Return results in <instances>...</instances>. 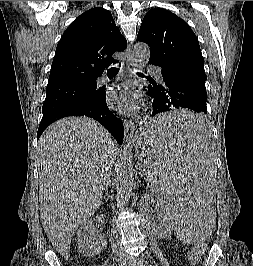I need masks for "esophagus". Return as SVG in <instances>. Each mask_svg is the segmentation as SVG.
Segmentation results:
<instances>
[{"instance_id":"1","label":"esophagus","mask_w":253,"mask_h":266,"mask_svg":"<svg viewBox=\"0 0 253 266\" xmlns=\"http://www.w3.org/2000/svg\"><path fill=\"white\" fill-rule=\"evenodd\" d=\"M127 61H126V70L129 75L133 74L134 66H135V59L132 53L131 45L129 44L127 47ZM136 135V127L132 120L125 119L124 120V137L126 141H130Z\"/></svg>"}]
</instances>
